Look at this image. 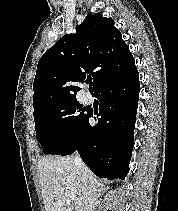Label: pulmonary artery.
<instances>
[{
    "mask_svg": "<svg viewBox=\"0 0 178 211\" xmlns=\"http://www.w3.org/2000/svg\"><path fill=\"white\" fill-rule=\"evenodd\" d=\"M85 101L90 103L92 101V95L90 92L85 93Z\"/></svg>",
    "mask_w": 178,
    "mask_h": 211,
    "instance_id": "e3ab8cb5",
    "label": "pulmonary artery"
}]
</instances>
